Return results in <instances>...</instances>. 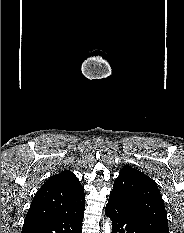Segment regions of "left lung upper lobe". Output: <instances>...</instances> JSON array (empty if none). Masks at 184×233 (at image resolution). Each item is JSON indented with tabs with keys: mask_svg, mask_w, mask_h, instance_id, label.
<instances>
[{
	"mask_svg": "<svg viewBox=\"0 0 184 233\" xmlns=\"http://www.w3.org/2000/svg\"><path fill=\"white\" fill-rule=\"evenodd\" d=\"M109 198L127 208L152 233H169L160 191L154 180L143 172L130 166L121 169Z\"/></svg>",
	"mask_w": 184,
	"mask_h": 233,
	"instance_id": "left-lung-upper-lobe-1",
	"label": "left lung upper lobe"
}]
</instances>
